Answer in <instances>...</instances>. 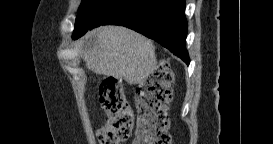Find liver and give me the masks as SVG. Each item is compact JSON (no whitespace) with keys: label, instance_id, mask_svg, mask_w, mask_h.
I'll return each instance as SVG.
<instances>
[{"label":"liver","instance_id":"liver-1","mask_svg":"<svg viewBox=\"0 0 273 144\" xmlns=\"http://www.w3.org/2000/svg\"><path fill=\"white\" fill-rule=\"evenodd\" d=\"M96 44L83 58L96 74L143 85L156 69L155 47L151 40L122 26H104L93 32Z\"/></svg>","mask_w":273,"mask_h":144}]
</instances>
